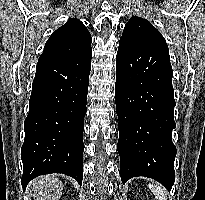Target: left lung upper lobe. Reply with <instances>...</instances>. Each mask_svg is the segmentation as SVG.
Returning a JSON list of instances; mask_svg holds the SVG:
<instances>
[{
	"mask_svg": "<svg viewBox=\"0 0 205 200\" xmlns=\"http://www.w3.org/2000/svg\"><path fill=\"white\" fill-rule=\"evenodd\" d=\"M119 42L129 44L165 43V39L149 21L133 16L125 25Z\"/></svg>",
	"mask_w": 205,
	"mask_h": 200,
	"instance_id": "left-lung-upper-lobe-1",
	"label": "left lung upper lobe"
}]
</instances>
